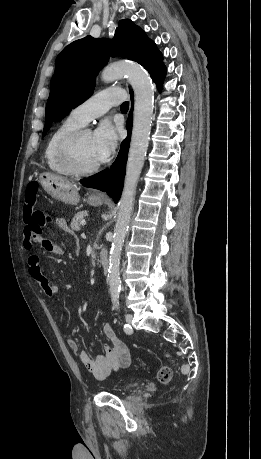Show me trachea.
<instances>
[{
  "label": "trachea",
  "mask_w": 261,
  "mask_h": 459,
  "mask_svg": "<svg viewBox=\"0 0 261 459\" xmlns=\"http://www.w3.org/2000/svg\"><path fill=\"white\" fill-rule=\"evenodd\" d=\"M129 108V102H123L121 105V110H128Z\"/></svg>",
  "instance_id": "3493384b"
}]
</instances>
